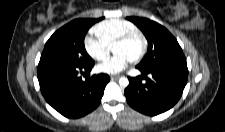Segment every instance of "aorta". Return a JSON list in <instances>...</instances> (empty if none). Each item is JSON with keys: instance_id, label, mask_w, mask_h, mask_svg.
<instances>
[{"instance_id": "obj_1", "label": "aorta", "mask_w": 225, "mask_h": 132, "mask_svg": "<svg viewBox=\"0 0 225 132\" xmlns=\"http://www.w3.org/2000/svg\"><path fill=\"white\" fill-rule=\"evenodd\" d=\"M119 85L123 88H126L129 85V80L126 77H121L119 79Z\"/></svg>"}]
</instances>
